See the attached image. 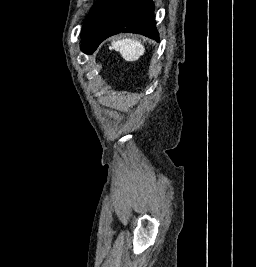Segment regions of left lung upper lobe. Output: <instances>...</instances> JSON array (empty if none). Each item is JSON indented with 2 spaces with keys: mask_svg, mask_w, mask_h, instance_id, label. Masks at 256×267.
I'll return each mask as SVG.
<instances>
[{
  "mask_svg": "<svg viewBox=\"0 0 256 267\" xmlns=\"http://www.w3.org/2000/svg\"><path fill=\"white\" fill-rule=\"evenodd\" d=\"M153 11L151 0H97L82 29V51L92 54L104 39L120 32L158 41Z\"/></svg>",
  "mask_w": 256,
  "mask_h": 267,
  "instance_id": "1",
  "label": "left lung upper lobe"
}]
</instances>
